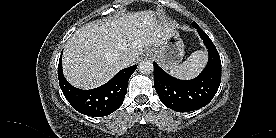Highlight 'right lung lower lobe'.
<instances>
[{"label": "right lung lower lobe", "mask_w": 276, "mask_h": 138, "mask_svg": "<svg viewBox=\"0 0 276 138\" xmlns=\"http://www.w3.org/2000/svg\"><path fill=\"white\" fill-rule=\"evenodd\" d=\"M137 65L119 71L106 84L91 90L73 87L62 72V56L58 64V78L62 92L71 106L78 112L103 117L111 114L122 104L127 92L128 80L136 70Z\"/></svg>", "instance_id": "right-lung-lower-lobe-1"}]
</instances>
